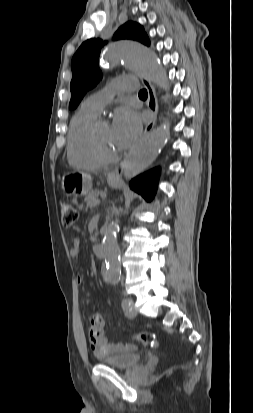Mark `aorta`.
Listing matches in <instances>:
<instances>
[{
    "mask_svg": "<svg viewBox=\"0 0 253 413\" xmlns=\"http://www.w3.org/2000/svg\"><path fill=\"white\" fill-rule=\"evenodd\" d=\"M104 58L109 62L122 61L129 69L138 71L159 87H168L167 77L163 67L158 62L156 54L145 45L132 41L120 40L109 45ZM170 138V130L161 125L144 136L134 147L131 155L124 163L123 173L126 179H131L147 168L157 157L159 151ZM118 224L110 222L104 231L103 246L105 251L107 280L118 283L120 278V262L117 248Z\"/></svg>",
    "mask_w": 253,
    "mask_h": 413,
    "instance_id": "1",
    "label": "aorta"
}]
</instances>
